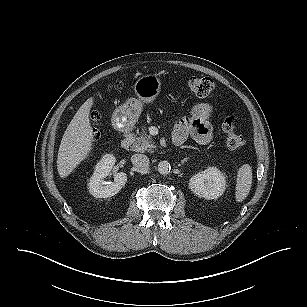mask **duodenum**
Returning a JSON list of instances; mask_svg holds the SVG:
<instances>
[{"mask_svg":"<svg viewBox=\"0 0 307 307\" xmlns=\"http://www.w3.org/2000/svg\"><path fill=\"white\" fill-rule=\"evenodd\" d=\"M133 133L130 130H126L123 134V138L121 140V146L122 148L126 149L129 148L133 144ZM176 145H179V142H174Z\"/></svg>","mask_w":307,"mask_h":307,"instance_id":"410a0bca","label":"duodenum"}]
</instances>
